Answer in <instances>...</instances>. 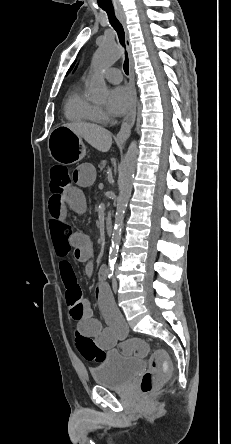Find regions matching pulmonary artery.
Listing matches in <instances>:
<instances>
[{
    "mask_svg": "<svg viewBox=\"0 0 231 444\" xmlns=\"http://www.w3.org/2000/svg\"><path fill=\"white\" fill-rule=\"evenodd\" d=\"M106 79L114 84L120 83L122 81V73L117 68H110L105 72Z\"/></svg>",
    "mask_w": 231,
    "mask_h": 444,
    "instance_id": "1",
    "label": "pulmonary artery"
}]
</instances>
